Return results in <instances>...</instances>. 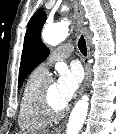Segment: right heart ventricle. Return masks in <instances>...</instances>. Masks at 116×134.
Listing matches in <instances>:
<instances>
[{
  "mask_svg": "<svg viewBox=\"0 0 116 134\" xmlns=\"http://www.w3.org/2000/svg\"><path fill=\"white\" fill-rule=\"evenodd\" d=\"M45 74L35 69L30 73L23 86L20 102L18 123L23 131L38 132L45 129L51 119L39 113L34 104V95L42 81L45 79Z\"/></svg>",
  "mask_w": 116,
  "mask_h": 134,
  "instance_id": "e07e8e85",
  "label": "right heart ventricle"
}]
</instances>
